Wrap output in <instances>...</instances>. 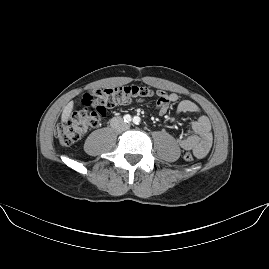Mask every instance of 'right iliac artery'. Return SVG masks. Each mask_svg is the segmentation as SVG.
<instances>
[{
    "mask_svg": "<svg viewBox=\"0 0 269 269\" xmlns=\"http://www.w3.org/2000/svg\"><path fill=\"white\" fill-rule=\"evenodd\" d=\"M131 121V116L129 114L124 116V122L129 123Z\"/></svg>",
    "mask_w": 269,
    "mask_h": 269,
    "instance_id": "1",
    "label": "right iliac artery"
}]
</instances>
